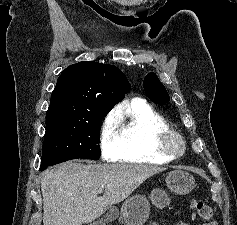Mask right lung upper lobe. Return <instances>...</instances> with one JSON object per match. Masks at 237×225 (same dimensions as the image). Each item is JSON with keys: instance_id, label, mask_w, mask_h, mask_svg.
Returning a JSON list of instances; mask_svg holds the SVG:
<instances>
[{"instance_id": "1", "label": "right lung upper lobe", "mask_w": 237, "mask_h": 225, "mask_svg": "<svg viewBox=\"0 0 237 225\" xmlns=\"http://www.w3.org/2000/svg\"><path fill=\"white\" fill-rule=\"evenodd\" d=\"M130 87L125 75L115 66L92 61L73 64L57 80L47 119H90L108 113Z\"/></svg>"}]
</instances>
